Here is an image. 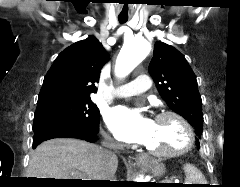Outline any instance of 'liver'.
Masks as SVG:
<instances>
[{
    "label": "liver",
    "mask_w": 240,
    "mask_h": 187,
    "mask_svg": "<svg viewBox=\"0 0 240 187\" xmlns=\"http://www.w3.org/2000/svg\"><path fill=\"white\" fill-rule=\"evenodd\" d=\"M117 157L106 163L102 149L88 142L57 138L43 142L33 152L28 178L107 180L117 169Z\"/></svg>",
    "instance_id": "liver-1"
}]
</instances>
